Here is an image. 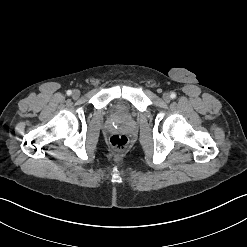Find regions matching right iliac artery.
Masks as SVG:
<instances>
[{"instance_id": "82829eb1", "label": "right iliac artery", "mask_w": 247, "mask_h": 247, "mask_svg": "<svg viewBox=\"0 0 247 247\" xmlns=\"http://www.w3.org/2000/svg\"><path fill=\"white\" fill-rule=\"evenodd\" d=\"M72 94V91L71 90H68L67 91V95H71Z\"/></svg>"}]
</instances>
